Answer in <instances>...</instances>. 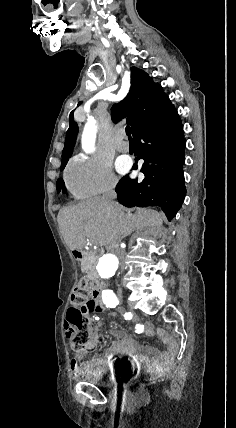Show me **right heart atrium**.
<instances>
[{"label":"right heart atrium","mask_w":236,"mask_h":428,"mask_svg":"<svg viewBox=\"0 0 236 428\" xmlns=\"http://www.w3.org/2000/svg\"><path fill=\"white\" fill-rule=\"evenodd\" d=\"M65 183L69 193L77 200H91L115 194L119 179L110 165L98 158L79 155L68 165Z\"/></svg>","instance_id":"1"}]
</instances>
